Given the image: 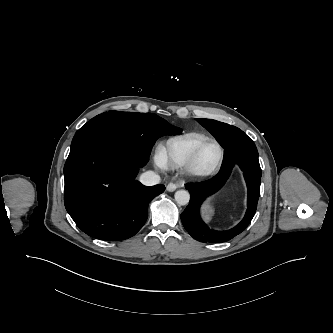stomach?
Masks as SVG:
<instances>
[{
	"instance_id": "obj_1",
	"label": "stomach",
	"mask_w": 333,
	"mask_h": 333,
	"mask_svg": "<svg viewBox=\"0 0 333 333\" xmlns=\"http://www.w3.org/2000/svg\"><path fill=\"white\" fill-rule=\"evenodd\" d=\"M212 214V209L209 204L203 206V216L205 220H209Z\"/></svg>"
}]
</instances>
